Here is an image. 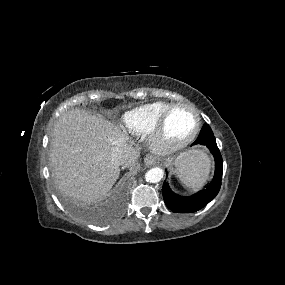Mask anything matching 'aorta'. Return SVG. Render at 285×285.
Wrapping results in <instances>:
<instances>
[{"label":"aorta","mask_w":285,"mask_h":285,"mask_svg":"<svg viewBox=\"0 0 285 285\" xmlns=\"http://www.w3.org/2000/svg\"><path fill=\"white\" fill-rule=\"evenodd\" d=\"M163 176L164 171L159 167H155L146 172L145 179L147 182L157 183L163 178Z\"/></svg>","instance_id":"obj_1"}]
</instances>
